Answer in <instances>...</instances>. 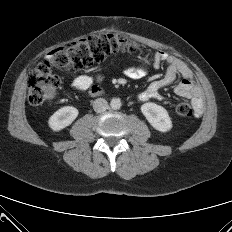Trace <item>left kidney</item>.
I'll list each match as a JSON object with an SVG mask.
<instances>
[{
	"label": "left kidney",
	"instance_id": "5707ae66",
	"mask_svg": "<svg viewBox=\"0 0 232 232\" xmlns=\"http://www.w3.org/2000/svg\"><path fill=\"white\" fill-rule=\"evenodd\" d=\"M141 112L150 125L160 132H167L172 128V121L165 108L152 102L141 106Z\"/></svg>",
	"mask_w": 232,
	"mask_h": 232
}]
</instances>
